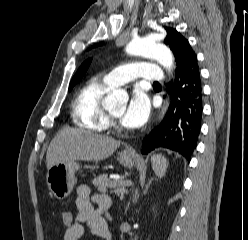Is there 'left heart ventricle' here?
I'll return each instance as SVG.
<instances>
[{"instance_id":"obj_1","label":"left heart ventricle","mask_w":248,"mask_h":240,"mask_svg":"<svg viewBox=\"0 0 248 240\" xmlns=\"http://www.w3.org/2000/svg\"><path fill=\"white\" fill-rule=\"evenodd\" d=\"M125 111V105L121 106L118 109H115L111 111V114H113L116 118L120 119Z\"/></svg>"}]
</instances>
